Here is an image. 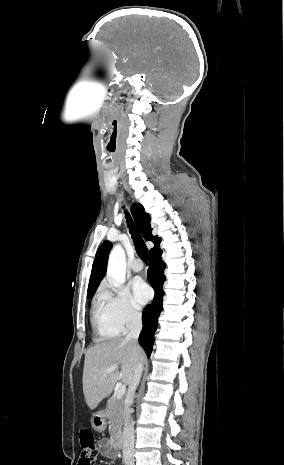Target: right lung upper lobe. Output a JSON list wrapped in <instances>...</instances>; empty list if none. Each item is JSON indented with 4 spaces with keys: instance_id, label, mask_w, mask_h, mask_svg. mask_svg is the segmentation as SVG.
I'll list each match as a JSON object with an SVG mask.
<instances>
[{
    "instance_id": "right-lung-upper-lobe-1",
    "label": "right lung upper lobe",
    "mask_w": 284,
    "mask_h": 465,
    "mask_svg": "<svg viewBox=\"0 0 284 465\" xmlns=\"http://www.w3.org/2000/svg\"><path fill=\"white\" fill-rule=\"evenodd\" d=\"M131 212L133 214L134 220L137 224L139 231L141 232L142 236L145 240H150L154 243V248L150 250L153 251L154 249L159 247L161 239L157 236L152 235V229L150 226V217L147 213L144 212V208L141 204L134 203L131 207ZM112 248V244L109 241H105L100 248L98 249L95 260L92 266V272L90 276L89 286H88V295H94L97 286L99 285L100 281L103 279L107 261H108V254Z\"/></svg>"
}]
</instances>
